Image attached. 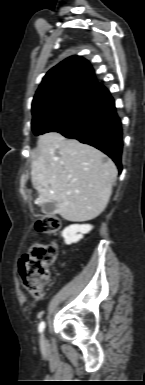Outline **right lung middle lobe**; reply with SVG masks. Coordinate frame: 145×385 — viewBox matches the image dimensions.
<instances>
[{
    "instance_id": "obj_1",
    "label": "right lung middle lobe",
    "mask_w": 145,
    "mask_h": 385,
    "mask_svg": "<svg viewBox=\"0 0 145 385\" xmlns=\"http://www.w3.org/2000/svg\"><path fill=\"white\" fill-rule=\"evenodd\" d=\"M100 94L90 90H73L35 107L31 123L34 134L56 132L93 104Z\"/></svg>"
}]
</instances>
